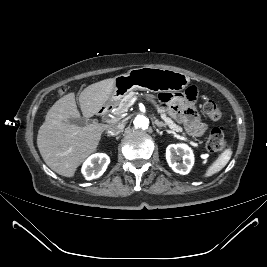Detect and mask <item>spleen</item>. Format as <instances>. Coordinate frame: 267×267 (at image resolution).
Returning a JSON list of instances; mask_svg holds the SVG:
<instances>
[{
	"instance_id": "3e777b00",
	"label": "spleen",
	"mask_w": 267,
	"mask_h": 267,
	"mask_svg": "<svg viewBox=\"0 0 267 267\" xmlns=\"http://www.w3.org/2000/svg\"><path fill=\"white\" fill-rule=\"evenodd\" d=\"M232 156V150L226 149L224 150L218 158L208 167L206 170V173L204 174V177H210L219 171H221L229 162L230 158Z\"/></svg>"
}]
</instances>
